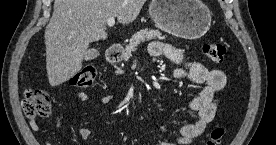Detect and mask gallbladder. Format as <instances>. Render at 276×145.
Wrapping results in <instances>:
<instances>
[{
    "instance_id": "1",
    "label": "gallbladder",
    "mask_w": 276,
    "mask_h": 145,
    "mask_svg": "<svg viewBox=\"0 0 276 145\" xmlns=\"http://www.w3.org/2000/svg\"><path fill=\"white\" fill-rule=\"evenodd\" d=\"M98 56H99L98 50L91 48L85 52L84 59L86 61H89V60H93V59L97 58Z\"/></svg>"
}]
</instances>
